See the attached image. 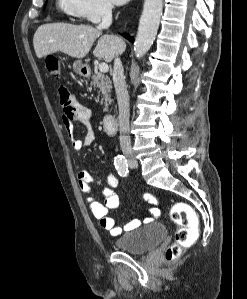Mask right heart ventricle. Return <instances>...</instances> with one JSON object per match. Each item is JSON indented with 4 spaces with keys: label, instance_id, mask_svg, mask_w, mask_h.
<instances>
[{
    "label": "right heart ventricle",
    "instance_id": "obj_1",
    "mask_svg": "<svg viewBox=\"0 0 247 299\" xmlns=\"http://www.w3.org/2000/svg\"><path fill=\"white\" fill-rule=\"evenodd\" d=\"M77 0H57L58 8L66 15L77 17Z\"/></svg>",
    "mask_w": 247,
    "mask_h": 299
}]
</instances>
